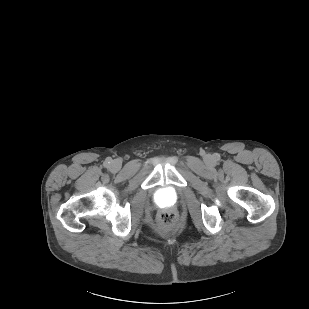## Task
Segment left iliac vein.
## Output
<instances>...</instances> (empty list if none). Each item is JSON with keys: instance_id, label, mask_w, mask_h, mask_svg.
<instances>
[{"instance_id": "obj_1", "label": "left iliac vein", "mask_w": 309, "mask_h": 309, "mask_svg": "<svg viewBox=\"0 0 309 309\" xmlns=\"http://www.w3.org/2000/svg\"><path fill=\"white\" fill-rule=\"evenodd\" d=\"M206 163L209 164V165L213 164L212 157L208 156V157L206 158Z\"/></svg>"}]
</instances>
